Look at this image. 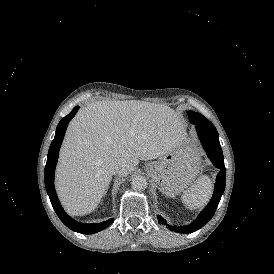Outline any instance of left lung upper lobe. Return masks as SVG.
<instances>
[{"mask_svg":"<svg viewBox=\"0 0 274 274\" xmlns=\"http://www.w3.org/2000/svg\"><path fill=\"white\" fill-rule=\"evenodd\" d=\"M187 113L193 115V116H198V115H201L199 113H196V112H193V111H188Z\"/></svg>","mask_w":274,"mask_h":274,"instance_id":"left-lung-upper-lobe-1","label":"left lung upper lobe"}]
</instances>
